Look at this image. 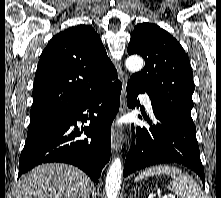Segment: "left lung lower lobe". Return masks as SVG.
<instances>
[{
	"label": "left lung lower lobe",
	"instance_id": "left-lung-lower-lobe-1",
	"mask_svg": "<svg viewBox=\"0 0 221 198\" xmlns=\"http://www.w3.org/2000/svg\"><path fill=\"white\" fill-rule=\"evenodd\" d=\"M139 93L145 92L133 84H127L128 107L135 108L140 105L136 98ZM152 106L157 121L153 123L148 120L149 129L137 127L136 147L132 145L127 154L123 175L126 177L151 165L178 163L195 171L204 183L205 175L195 126L181 122L153 103Z\"/></svg>",
	"mask_w": 221,
	"mask_h": 198
}]
</instances>
